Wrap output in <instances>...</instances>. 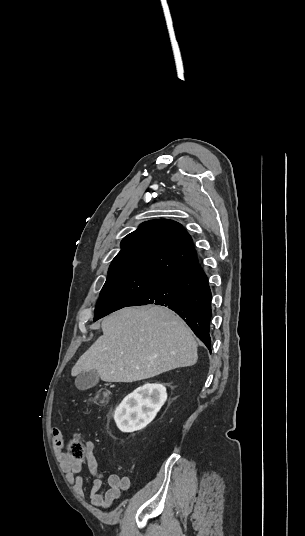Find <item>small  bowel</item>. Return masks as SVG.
I'll return each instance as SVG.
<instances>
[{
	"mask_svg": "<svg viewBox=\"0 0 305 536\" xmlns=\"http://www.w3.org/2000/svg\"><path fill=\"white\" fill-rule=\"evenodd\" d=\"M51 434L52 445L55 455L66 473L70 485L74 487L79 495L84 492V476L82 468L86 463L89 472L95 476L91 485L90 499L94 506L104 509L109 508L116 500H118L123 491H127L131 486V481L127 476L113 474L108 477V486L103 488L101 473L98 468L97 459L93 453L92 445L89 444L86 449L85 460L79 459L73 452H65L63 450L62 434L58 431V427L53 425Z\"/></svg>",
	"mask_w": 305,
	"mask_h": 536,
	"instance_id": "c3829d8e",
	"label": "small bowel"
}]
</instances>
